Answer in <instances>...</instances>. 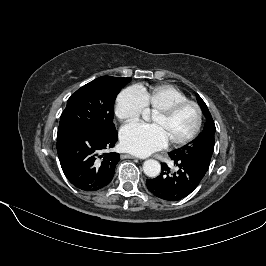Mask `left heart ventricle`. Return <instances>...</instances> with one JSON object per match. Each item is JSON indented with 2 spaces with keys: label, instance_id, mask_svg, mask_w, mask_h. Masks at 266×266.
<instances>
[{
  "label": "left heart ventricle",
  "instance_id": "obj_1",
  "mask_svg": "<svg viewBox=\"0 0 266 266\" xmlns=\"http://www.w3.org/2000/svg\"><path fill=\"white\" fill-rule=\"evenodd\" d=\"M151 121L157 125L168 142L187 136L196 124V111L192 106H186L169 117L153 114Z\"/></svg>",
  "mask_w": 266,
  "mask_h": 266
}]
</instances>
